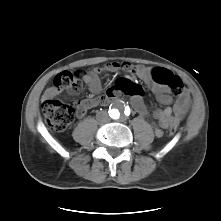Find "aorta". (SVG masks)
<instances>
[{"label": "aorta", "instance_id": "obj_1", "mask_svg": "<svg viewBox=\"0 0 221 221\" xmlns=\"http://www.w3.org/2000/svg\"><path fill=\"white\" fill-rule=\"evenodd\" d=\"M112 116L114 119H118L120 116L119 110L118 109H113L112 110Z\"/></svg>", "mask_w": 221, "mask_h": 221}]
</instances>
